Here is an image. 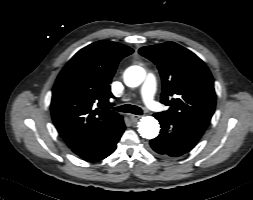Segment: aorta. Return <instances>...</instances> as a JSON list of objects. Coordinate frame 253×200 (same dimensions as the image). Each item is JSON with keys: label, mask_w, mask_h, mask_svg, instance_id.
Listing matches in <instances>:
<instances>
[{"label": "aorta", "mask_w": 253, "mask_h": 200, "mask_svg": "<svg viewBox=\"0 0 253 200\" xmlns=\"http://www.w3.org/2000/svg\"><path fill=\"white\" fill-rule=\"evenodd\" d=\"M145 78V70L140 66H131L124 74L125 84L129 87L140 85ZM160 126L152 116H144L138 123L139 134L146 139H153L159 134Z\"/></svg>", "instance_id": "obj_1"}]
</instances>
